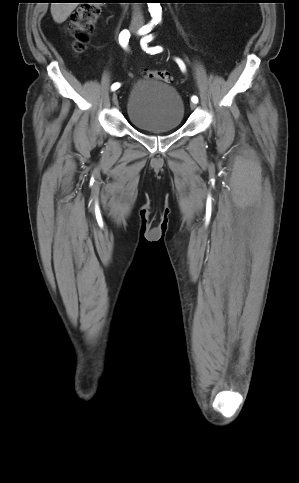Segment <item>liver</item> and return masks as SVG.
Listing matches in <instances>:
<instances>
[{"label":"liver","mask_w":299,"mask_h":483,"mask_svg":"<svg viewBox=\"0 0 299 483\" xmlns=\"http://www.w3.org/2000/svg\"><path fill=\"white\" fill-rule=\"evenodd\" d=\"M78 3H51V14L56 23H63Z\"/></svg>","instance_id":"liver-1"}]
</instances>
